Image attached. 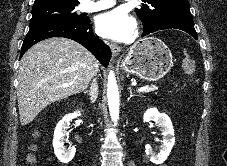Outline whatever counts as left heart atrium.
<instances>
[{"instance_id":"39dd6f15","label":"left heart atrium","mask_w":227,"mask_h":166,"mask_svg":"<svg viewBox=\"0 0 227 166\" xmlns=\"http://www.w3.org/2000/svg\"><path fill=\"white\" fill-rule=\"evenodd\" d=\"M135 22L124 10L115 9L101 14L96 21L97 33L107 39L125 40L131 36Z\"/></svg>"}]
</instances>
